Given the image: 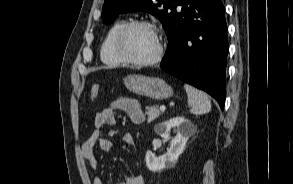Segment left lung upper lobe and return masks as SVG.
<instances>
[{"instance_id": "1", "label": "left lung upper lobe", "mask_w": 293, "mask_h": 184, "mask_svg": "<svg viewBox=\"0 0 293 184\" xmlns=\"http://www.w3.org/2000/svg\"><path fill=\"white\" fill-rule=\"evenodd\" d=\"M179 0H105L102 10V20L109 24L119 14L126 12L146 11L155 15L166 33L171 25L173 15Z\"/></svg>"}]
</instances>
